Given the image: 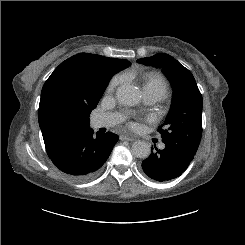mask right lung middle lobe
Instances as JSON below:
<instances>
[{
  "mask_svg": "<svg viewBox=\"0 0 245 245\" xmlns=\"http://www.w3.org/2000/svg\"><path fill=\"white\" fill-rule=\"evenodd\" d=\"M115 72L116 71L113 70V68L105 66V65L100 66V68L98 69V74L101 78L108 77L109 79ZM56 110L62 116L67 114V108L61 101L57 102Z\"/></svg>",
  "mask_w": 245,
  "mask_h": 245,
  "instance_id": "obj_1",
  "label": "right lung middle lobe"
}]
</instances>
